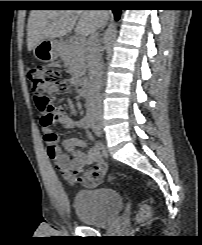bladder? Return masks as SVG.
Here are the masks:
<instances>
[{
  "mask_svg": "<svg viewBox=\"0 0 202 245\" xmlns=\"http://www.w3.org/2000/svg\"><path fill=\"white\" fill-rule=\"evenodd\" d=\"M73 207L81 223L104 226L121 212L123 199L111 188H84L76 193Z\"/></svg>",
  "mask_w": 202,
  "mask_h": 245,
  "instance_id": "1",
  "label": "bladder"
}]
</instances>
